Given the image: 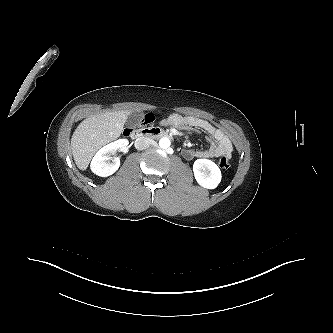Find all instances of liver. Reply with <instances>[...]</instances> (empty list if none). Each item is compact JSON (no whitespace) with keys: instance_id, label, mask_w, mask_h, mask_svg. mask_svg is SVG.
<instances>
[{"instance_id":"1","label":"liver","mask_w":333,"mask_h":333,"mask_svg":"<svg viewBox=\"0 0 333 333\" xmlns=\"http://www.w3.org/2000/svg\"><path fill=\"white\" fill-rule=\"evenodd\" d=\"M129 112H104L83 120L72 139V153L77 167L86 170L94 154L105 144L117 139L128 120Z\"/></svg>"}]
</instances>
